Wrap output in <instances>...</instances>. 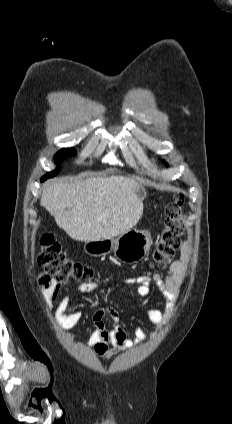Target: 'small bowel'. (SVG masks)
Segmentation results:
<instances>
[{
    "instance_id": "1",
    "label": "small bowel",
    "mask_w": 232,
    "mask_h": 424,
    "mask_svg": "<svg viewBox=\"0 0 232 424\" xmlns=\"http://www.w3.org/2000/svg\"><path fill=\"white\" fill-rule=\"evenodd\" d=\"M192 249L188 241H183L180 245V258L171 263L166 276L161 274L138 275L127 279V282L137 286V293L142 297L151 294V286L155 285L158 291L166 300L163 309L157 307H146L145 315L147 319L161 326L167 323L175 310L177 298L181 286L185 280L188 266L191 262ZM63 283H55L51 289V294L56 297L60 294ZM78 291L86 294H93L98 290L95 282H84L78 285ZM69 296L61 295L59 303L55 309L57 322L61 327L70 328L77 325L81 318L80 311L69 312ZM108 315L113 323L108 329L104 317ZM119 312L113 307H102L93 314V330L89 336L88 344L94 351L103 358L109 359L115 354L126 350L145 340V331L137 327L134 330V340L128 338L127 332L119 325Z\"/></svg>"
}]
</instances>
